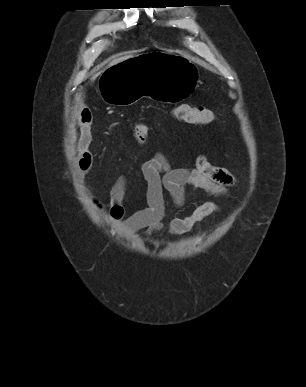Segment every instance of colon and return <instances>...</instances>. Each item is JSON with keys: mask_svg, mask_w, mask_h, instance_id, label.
Here are the masks:
<instances>
[{"mask_svg": "<svg viewBox=\"0 0 306 387\" xmlns=\"http://www.w3.org/2000/svg\"><path fill=\"white\" fill-rule=\"evenodd\" d=\"M176 119L195 125H208L215 120L214 113L204 106L181 105L175 108ZM149 127L144 121H137L134 127L133 136L135 141L142 145L148 138Z\"/></svg>", "mask_w": 306, "mask_h": 387, "instance_id": "1", "label": "colon"}]
</instances>
